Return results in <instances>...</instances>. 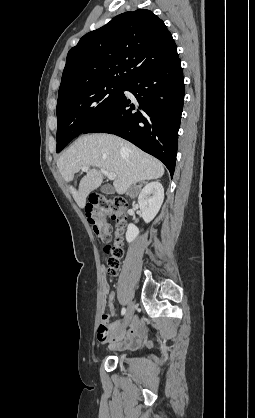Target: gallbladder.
Listing matches in <instances>:
<instances>
[{
    "instance_id": "gallbladder-1",
    "label": "gallbladder",
    "mask_w": 255,
    "mask_h": 418,
    "mask_svg": "<svg viewBox=\"0 0 255 418\" xmlns=\"http://www.w3.org/2000/svg\"><path fill=\"white\" fill-rule=\"evenodd\" d=\"M101 192L106 194V195L113 194L114 193V188L110 185H104L101 188Z\"/></svg>"
}]
</instances>
